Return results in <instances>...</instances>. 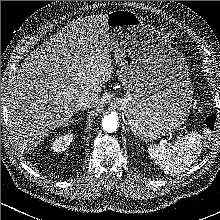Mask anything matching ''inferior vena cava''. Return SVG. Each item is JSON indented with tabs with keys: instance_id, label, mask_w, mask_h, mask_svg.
<instances>
[{
	"instance_id": "602c4592",
	"label": "inferior vena cava",
	"mask_w": 220,
	"mask_h": 220,
	"mask_svg": "<svg viewBox=\"0 0 220 220\" xmlns=\"http://www.w3.org/2000/svg\"><path fill=\"white\" fill-rule=\"evenodd\" d=\"M93 103H94V99L92 96L82 95L81 97L78 98L77 103H76L77 111L83 110L86 108H91Z\"/></svg>"
}]
</instances>
